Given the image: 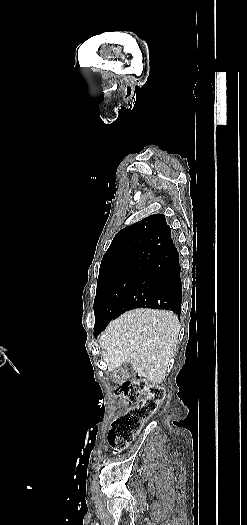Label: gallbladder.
<instances>
[{"mask_svg": "<svg viewBox=\"0 0 247 525\" xmlns=\"http://www.w3.org/2000/svg\"><path fill=\"white\" fill-rule=\"evenodd\" d=\"M123 369L126 375H134L135 369L133 368V365L131 363H125Z\"/></svg>", "mask_w": 247, "mask_h": 525, "instance_id": "1", "label": "gallbladder"}]
</instances>
